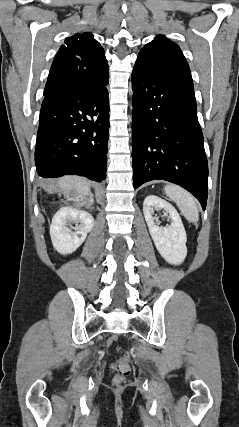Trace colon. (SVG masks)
Returning <instances> with one entry per match:
<instances>
[{
  "label": "colon",
  "instance_id": "obj_1",
  "mask_svg": "<svg viewBox=\"0 0 239 427\" xmlns=\"http://www.w3.org/2000/svg\"><path fill=\"white\" fill-rule=\"evenodd\" d=\"M111 373L114 375V381L116 384L123 383L130 373L128 358L124 357L115 361L111 367Z\"/></svg>",
  "mask_w": 239,
  "mask_h": 427
}]
</instances>
